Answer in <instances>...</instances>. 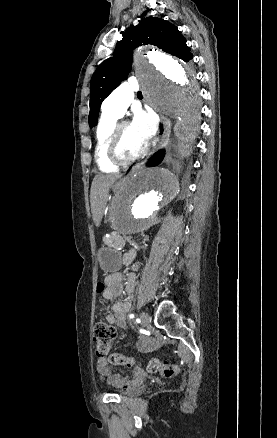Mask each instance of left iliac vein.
I'll list each match as a JSON object with an SVG mask.
<instances>
[{"label":"left iliac vein","mask_w":277,"mask_h":438,"mask_svg":"<svg viewBox=\"0 0 277 438\" xmlns=\"http://www.w3.org/2000/svg\"><path fill=\"white\" fill-rule=\"evenodd\" d=\"M140 320H141L142 325L146 326L149 323V321H150L149 314L146 313V312H142L140 314Z\"/></svg>","instance_id":"1"}]
</instances>
